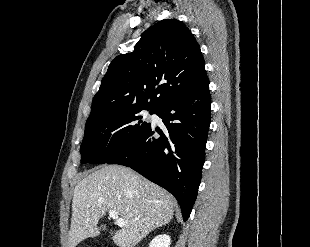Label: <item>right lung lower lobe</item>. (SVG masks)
<instances>
[{
    "label": "right lung lower lobe",
    "instance_id": "98d812e1",
    "mask_svg": "<svg viewBox=\"0 0 310 247\" xmlns=\"http://www.w3.org/2000/svg\"><path fill=\"white\" fill-rule=\"evenodd\" d=\"M210 104L208 80L169 99L155 112L166 133L149 125L130 148L108 162L130 167L169 191L178 200L184 221L191 213L201 180Z\"/></svg>",
    "mask_w": 310,
    "mask_h": 247
}]
</instances>
